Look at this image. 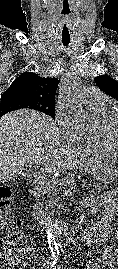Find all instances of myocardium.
<instances>
[{"mask_svg": "<svg viewBox=\"0 0 118 269\" xmlns=\"http://www.w3.org/2000/svg\"><path fill=\"white\" fill-rule=\"evenodd\" d=\"M100 119H101L100 133H101L102 138L118 154V142L115 140V138L112 135L113 127L115 123L118 121V111L110 112L107 116Z\"/></svg>", "mask_w": 118, "mask_h": 269, "instance_id": "myocardium-1", "label": "myocardium"}]
</instances>
